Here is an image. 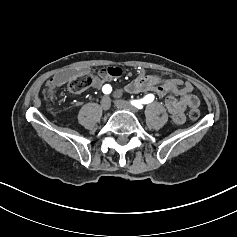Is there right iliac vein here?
<instances>
[{"mask_svg": "<svg viewBox=\"0 0 237 237\" xmlns=\"http://www.w3.org/2000/svg\"><path fill=\"white\" fill-rule=\"evenodd\" d=\"M100 104H101V108L105 111L109 110L111 107V101L109 97L107 96L103 97Z\"/></svg>", "mask_w": 237, "mask_h": 237, "instance_id": "obj_1", "label": "right iliac vein"}]
</instances>
